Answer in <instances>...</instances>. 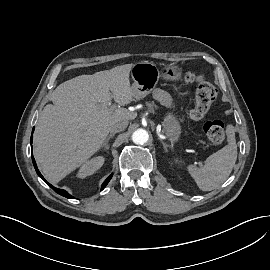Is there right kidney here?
Segmentation results:
<instances>
[{
    "label": "right kidney",
    "mask_w": 270,
    "mask_h": 270,
    "mask_svg": "<svg viewBox=\"0 0 270 270\" xmlns=\"http://www.w3.org/2000/svg\"><path fill=\"white\" fill-rule=\"evenodd\" d=\"M104 158L102 156L94 157L88 161H86L77 173L78 178H85L87 176L92 175L98 169L102 167L104 164Z\"/></svg>",
    "instance_id": "ca27d5eb"
}]
</instances>
